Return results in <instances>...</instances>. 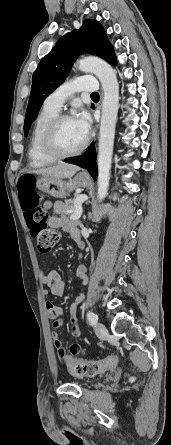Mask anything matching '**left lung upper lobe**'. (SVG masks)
Wrapping results in <instances>:
<instances>
[{"instance_id": "obj_1", "label": "left lung upper lobe", "mask_w": 171, "mask_h": 445, "mask_svg": "<svg viewBox=\"0 0 171 445\" xmlns=\"http://www.w3.org/2000/svg\"><path fill=\"white\" fill-rule=\"evenodd\" d=\"M84 53L95 54L116 65L113 47L103 27L95 20L86 19L79 30L61 37L52 51L39 63L32 76L24 122L26 136L45 98L64 82L78 55Z\"/></svg>"}]
</instances>
